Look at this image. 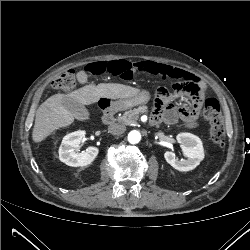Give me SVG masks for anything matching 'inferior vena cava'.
<instances>
[{
  "label": "inferior vena cava",
  "mask_w": 250,
  "mask_h": 250,
  "mask_svg": "<svg viewBox=\"0 0 250 250\" xmlns=\"http://www.w3.org/2000/svg\"><path fill=\"white\" fill-rule=\"evenodd\" d=\"M108 131L113 135H121L126 131V127L122 124H112L108 127Z\"/></svg>",
  "instance_id": "1"
}]
</instances>
